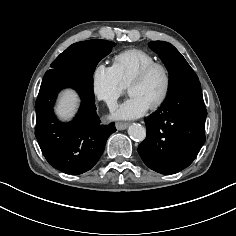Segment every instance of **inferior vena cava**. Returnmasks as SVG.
Segmentation results:
<instances>
[{
    "mask_svg": "<svg viewBox=\"0 0 236 236\" xmlns=\"http://www.w3.org/2000/svg\"><path fill=\"white\" fill-rule=\"evenodd\" d=\"M108 107H109V110H110L111 112H113V111H115V110L118 108V104H117L116 102H110V103L108 104Z\"/></svg>",
    "mask_w": 236,
    "mask_h": 236,
    "instance_id": "obj_1",
    "label": "inferior vena cava"
}]
</instances>
